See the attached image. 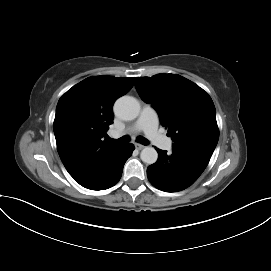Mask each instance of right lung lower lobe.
<instances>
[{
  "label": "right lung lower lobe",
  "instance_id": "obj_1",
  "mask_svg": "<svg viewBox=\"0 0 271 271\" xmlns=\"http://www.w3.org/2000/svg\"><path fill=\"white\" fill-rule=\"evenodd\" d=\"M133 150V144L120 145L90 175L77 182L91 190L108 189L114 186L120 180L123 166Z\"/></svg>",
  "mask_w": 271,
  "mask_h": 271
}]
</instances>
